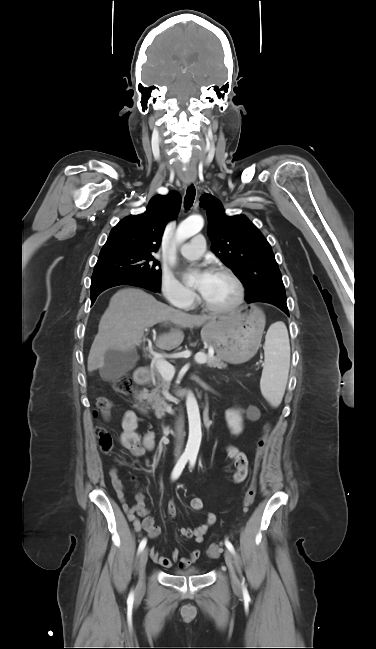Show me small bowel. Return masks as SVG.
I'll use <instances>...</instances> for the list:
<instances>
[{"label": "small bowel", "instance_id": "small-bowel-1", "mask_svg": "<svg viewBox=\"0 0 376 649\" xmlns=\"http://www.w3.org/2000/svg\"><path fill=\"white\" fill-rule=\"evenodd\" d=\"M122 432L120 435V442L133 456L139 457L151 451L154 446V434L147 432L142 435L139 432V417L133 410H128L123 415L121 422ZM228 454L234 459L235 471L233 479L235 483H242L248 473V459L244 453L234 447L228 448ZM111 485L115 492L117 499L121 504V508L125 513L127 519L134 525L135 531L144 529L151 538H156L160 535L161 529L155 525L154 519L149 515V510L145 506V496L139 491L135 495V503L129 505L125 498V486L118 477L117 468L113 467L109 471ZM135 480V477H132ZM190 507L193 511H200L203 508V503L200 499H193L190 502ZM167 514L170 518L176 516V506L172 500L167 503ZM138 517H141L140 520ZM217 521V516L214 513H208L205 521L195 528L183 527L179 529L180 534L185 538L193 539L195 544L200 545L206 532ZM151 559L158 565L165 568H172L177 564L180 568H187L195 563L200 557V550L198 548L192 550L188 556L181 557L178 550H175L171 557H164L160 555L156 548L150 550Z\"/></svg>", "mask_w": 376, "mask_h": 649}]
</instances>
